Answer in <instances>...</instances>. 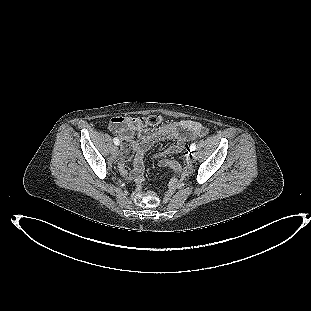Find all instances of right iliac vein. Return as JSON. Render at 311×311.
I'll return each mask as SVG.
<instances>
[{"label": "right iliac vein", "mask_w": 311, "mask_h": 311, "mask_svg": "<svg viewBox=\"0 0 311 311\" xmlns=\"http://www.w3.org/2000/svg\"><path fill=\"white\" fill-rule=\"evenodd\" d=\"M112 154L114 155V156H117L118 155V147L117 146H114L113 148H112Z\"/></svg>", "instance_id": "1"}]
</instances>
